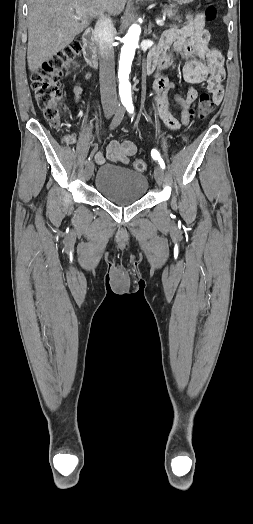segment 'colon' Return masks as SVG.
I'll return each instance as SVG.
<instances>
[{
    "instance_id": "colon-1",
    "label": "colon",
    "mask_w": 253,
    "mask_h": 524,
    "mask_svg": "<svg viewBox=\"0 0 253 524\" xmlns=\"http://www.w3.org/2000/svg\"><path fill=\"white\" fill-rule=\"evenodd\" d=\"M216 16V9L210 5L205 10L207 20H213ZM83 44L81 40H73L55 56L44 62L31 75V87L34 92L38 107L42 111L45 119L54 128H60L61 108L63 92L60 80L66 75L74 65L80 55ZM86 86L84 81L73 80L71 82L72 91L81 94ZM212 113V104L208 94L203 93L199 97L198 115L200 118H207ZM65 142L71 144L74 142L72 135H66ZM136 171L143 172L147 168L144 160L134 162Z\"/></svg>"
}]
</instances>
